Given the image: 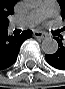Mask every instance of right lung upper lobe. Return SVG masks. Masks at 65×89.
Here are the masks:
<instances>
[{"label":"right lung upper lobe","instance_id":"obj_1","mask_svg":"<svg viewBox=\"0 0 65 89\" xmlns=\"http://www.w3.org/2000/svg\"><path fill=\"white\" fill-rule=\"evenodd\" d=\"M17 0H0V28L8 27L7 17L13 14V8Z\"/></svg>","mask_w":65,"mask_h":89}]
</instances>
